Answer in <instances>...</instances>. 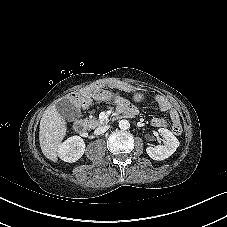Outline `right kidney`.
<instances>
[{
  "instance_id": "obj_1",
  "label": "right kidney",
  "mask_w": 227,
  "mask_h": 227,
  "mask_svg": "<svg viewBox=\"0 0 227 227\" xmlns=\"http://www.w3.org/2000/svg\"><path fill=\"white\" fill-rule=\"evenodd\" d=\"M85 151V142L80 136H72L58 146V156L69 163L76 162Z\"/></svg>"
}]
</instances>
